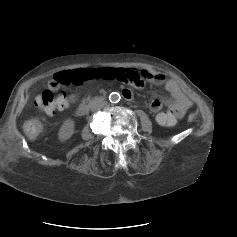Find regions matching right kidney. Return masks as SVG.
Instances as JSON below:
<instances>
[{
    "instance_id": "ca27d5eb",
    "label": "right kidney",
    "mask_w": 237,
    "mask_h": 237,
    "mask_svg": "<svg viewBox=\"0 0 237 237\" xmlns=\"http://www.w3.org/2000/svg\"><path fill=\"white\" fill-rule=\"evenodd\" d=\"M74 134V121L66 120L61 126L58 137L61 142H65Z\"/></svg>"
}]
</instances>
